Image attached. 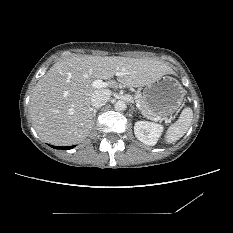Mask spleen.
Here are the masks:
<instances>
[{
  "instance_id": "3e777b00",
  "label": "spleen",
  "mask_w": 233,
  "mask_h": 233,
  "mask_svg": "<svg viewBox=\"0 0 233 233\" xmlns=\"http://www.w3.org/2000/svg\"><path fill=\"white\" fill-rule=\"evenodd\" d=\"M193 119V111L191 108H184L179 119L172 124L166 131V142L174 143L179 140L188 131Z\"/></svg>"
}]
</instances>
